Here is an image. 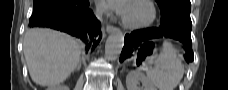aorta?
Segmentation results:
<instances>
[{"label": "aorta", "instance_id": "762f6f07", "mask_svg": "<svg viewBox=\"0 0 228 90\" xmlns=\"http://www.w3.org/2000/svg\"><path fill=\"white\" fill-rule=\"evenodd\" d=\"M124 46V35L120 31L112 33L105 44V57L108 60H116Z\"/></svg>", "mask_w": 228, "mask_h": 90}]
</instances>
